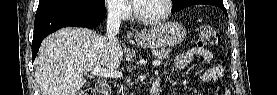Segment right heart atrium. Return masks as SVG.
<instances>
[{"label": "right heart atrium", "mask_w": 277, "mask_h": 95, "mask_svg": "<svg viewBox=\"0 0 277 95\" xmlns=\"http://www.w3.org/2000/svg\"><path fill=\"white\" fill-rule=\"evenodd\" d=\"M105 4L112 19L124 20L128 18L130 10L122 0H107Z\"/></svg>", "instance_id": "d8ad5b80"}]
</instances>
